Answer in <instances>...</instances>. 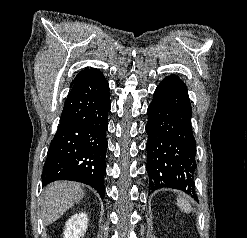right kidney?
Instances as JSON below:
<instances>
[{
	"mask_svg": "<svg viewBox=\"0 0 247 238\" xmlns=\"http://www.w3.org/2000/svg\"><path fill=\"white\" fill-rule=\"evenodd\" d=\"M88 217L85 213L73 215L67 222L64 231V238H81L86 232Z\"/></svg>",
	"mask_w": 247,
	"mask_h": 238,
	"instance_id": "ca27d5eb",
	"label": "right kidney"
}]
</instances>
